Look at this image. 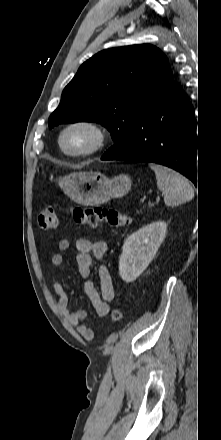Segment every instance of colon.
<instances>
[{"label":"colon","instance_id":"obj_1","mask_svg":"<svg viewBox=\"0 0 221 440\" xmlns=\"http://www.w3.org/2000/svg\"><path fill=\"white\" fill-rule=\"evenodd\" d=\"M70 215L77 224L89 228H95L102 223L114 227H123L132 222L130 215L102 207H74L70 209ZM38 221L42 230H56L57 217L54 208L52 206L43 207L39 214ZM122 317L123 314L120 308L116 307L112 310L111 318L113 322H120Z\"/></svg>","mask_w":221,"mask_h":440}]
</instances>
